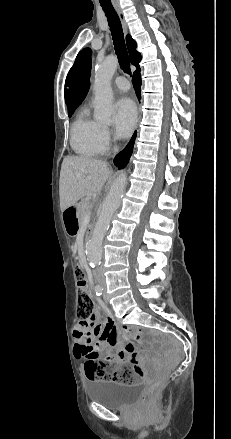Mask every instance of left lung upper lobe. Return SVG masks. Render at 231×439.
I'll list each match as a JSON object with an SVG mask.
<instances>
[{"label":"left lung upper lobe","mask_w":231,"mask_h":439,"mask_svg":"<svg viewBox=\"0 0 231 439\" xmlns=\"http://www.w3.org/2000/svg\"><path fill=\"white\" fill-rule=\"evenodd\" d=\"M90 54H91V50L88 49V48L83 49V50H81V51L78 53V55H77V57H76V59H75V63H74V65L72 66V68L70 69L67 78H68V77H71V78L73 77V75L76 73V71L78 70L79 66L81 65V63L83 62V60L85 59V57H86L87 55H90Z\"/></svg>","instance_id":"left-lung-upper-lobe-1"}]
</instances>
